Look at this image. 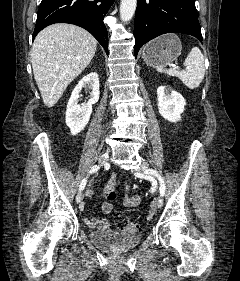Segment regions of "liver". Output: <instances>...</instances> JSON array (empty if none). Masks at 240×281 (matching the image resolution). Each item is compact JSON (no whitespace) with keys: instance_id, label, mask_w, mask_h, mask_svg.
<instances>
[{"instance_id":"liver-1","label":"liver","mask_w":240,"mask_h":281,"mask_svg":"<svg viewBox=\"0 0 240 281\" xmlns=\"http://www.w3.org/2000/svg\"><path fill=\"white\" fill-rule=\"evenodd\" d=\"M97 47L85 29L56 23L43 29L31 49L35 81L46 107L54 106L68 85L89 65Z\"/></svg>"}]
</instances>
